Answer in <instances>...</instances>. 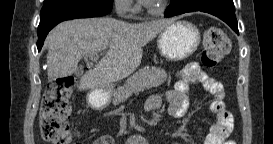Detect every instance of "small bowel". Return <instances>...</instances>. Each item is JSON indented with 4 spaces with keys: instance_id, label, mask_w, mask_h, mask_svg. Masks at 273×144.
Listing matches in <instances>:
<instances>
[{
    "instance_id": "1",
    "label": "small bowel",
    "mask_w": 273,
    "mask_h": 144,
    "mask_svg": "<svg viewBox=\"0 0 273 144\" xmlns=\"http://www.w3.org/2000/svg\"><path fill=\"white\" fill-rule=\"evenodd\" d=\"M192 84H200L209 92L213 101L210 110L215 114V122L208 127L204 144H227V137L233 128V117L226 110L224 103V88L221 82L207 74L197 64H190L178 73V81L174 90L166 94L168 114L173 118H182L188 110L189 90ZM161 97L150 96L144 105L147 113H153L160 109ZM95 144H113L111 136L104 135L94 141Z\"/></svg>"
}]
</instances>
